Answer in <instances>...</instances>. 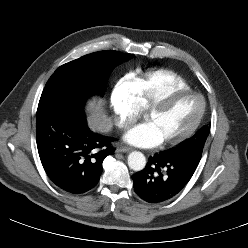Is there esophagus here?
Listing matches in <instances>:
<instances>
[{"label": "esophagus", "instance_id": "34e87169", "mask_svg": "<svg viewBox=\"0 0 248 248\" xmlns=\"http://www.w3.org/2000/svg\"><path fill=\"white\" fill-rule=\"evenodd\" d=\"M129 151H130V148L124 147V146L117 147V149H116V152H122V153H127Z\"/></svg>", "mask_w": 248, "mask_h": 248}]
</instances>
